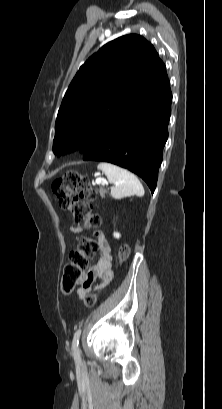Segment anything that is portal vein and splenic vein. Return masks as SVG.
<instances>
[{
	"mask_svg": "<svg viewBox=\"0 0 222 409\" xmlns=\"http://www.w3.org/2000/svg\"><path fill=\"white\" fill-rule=\"evenodd\" d=\"M95 183H96V184H106V185H108V183H107L105 180L100 179V178L96 179V182H95Z\"/></svg>",
	"mask_w": 222,
	"mask_h": 409,
	"instance_id": "obj_1",
	"label": "portal vein and splenic vein"
}]
</instances>
